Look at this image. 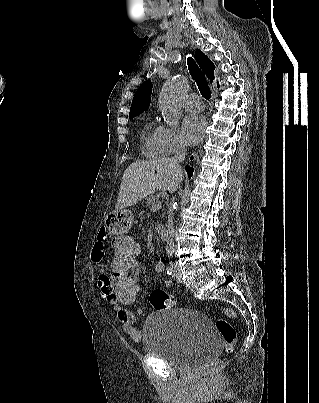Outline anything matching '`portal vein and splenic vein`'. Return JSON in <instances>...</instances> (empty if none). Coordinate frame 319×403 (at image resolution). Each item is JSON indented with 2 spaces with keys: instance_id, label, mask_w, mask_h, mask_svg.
I'll list each match as a JSON object with an SVG mask.
<instances>
[{
  "instance_id": "1",
  "label": "portal vein and splenic vein",
  "mask_w": 319,
  "mask_h": 403,
  "mask_svg": "<svg viewBox=\"0 0 319 403\" xmlns=\"http://www.w3.org/2000/svg\"><path fill=\"white\" fill-rule=\"evenodd\" d=\"M159 208H160V204L153 206V207L151 208V210H152V211H156V210H158Z\"/></svg>"
}]
</instances>
